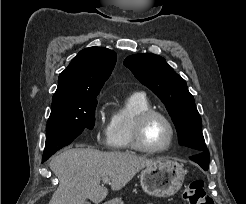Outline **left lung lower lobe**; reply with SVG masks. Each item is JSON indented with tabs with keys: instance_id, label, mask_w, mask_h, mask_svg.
I'll return each instance as SVG.
<instances>
[{
	"instance_id": "0a47b994",
	"label": "left lung lower lobe",
	"mask_w": 246,
	"mask_h": 204,
	"mask_svg": "<svg viewBox=\"0 0 246 204\" xmlns=\"http://www.w3.org/2000/svg\"><path fill=\"white\" fill-rule=\"evenodd\" d=\"M190 159L198 163L204 170L209 167V152L207 149L200 151L199 155L192 156Z\"/></svg>"
}]
</instances>
